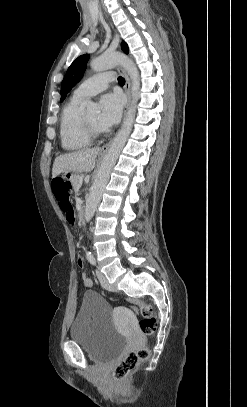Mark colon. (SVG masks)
<instances>
[{
	"label": "colon",
	"mask_w": 247,
	"mask_h": 407,
	"mask_svg": "<svg viewBox=\"0 0 247 407\" xmlns=\"http://www.w3.org/2000/svg\"><path fill=\"white\" fill-rule=\"evenodd\" d=\"M52 191L57 200L58 206L63 213L72 209L71 191L72 187L69 182L56 178L52 181ZM132 308L141 315L139 321L140 331L147 335L153 336L157 330V321L153 315L152 307L142 300L128 298ZM150 350L147 346L141 347L128 353L123 360L113 369L112 378L115 381L126 379L142 362L148 359Z\"/></svg>",
	"instance_id": "5ec220e1"
}]
</instances>
